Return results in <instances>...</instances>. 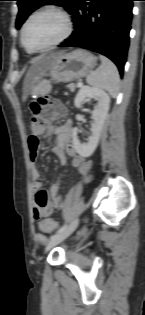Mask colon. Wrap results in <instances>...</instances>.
Returning a JSON list of instances; mask_svg holds the SVG:
<instances>
[{"label":"colon","instance_id":"obj_1","mask_svg":"<svg viewBox=\"0 0 145 315\" xmlns=\"http://www.w3.org/2000/svg\"><path fill=\"white\" fill-rule=\"evenodd\" d=\"M30 110L29 126L31 129H35L40 124L60 117L64 109L60 103L52 101L48 97H41L31 103ZM57 225V222L51 218H45L40 222L41 230L49 233L53 232Z\"/></svg>","mask_w":145,"mask_h":315}]
</instances>
